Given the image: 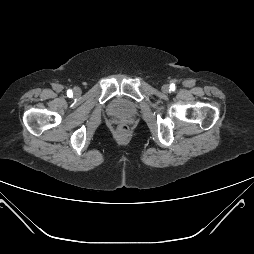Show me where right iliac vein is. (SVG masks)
<instances>
[{
    "label": "right iliac vein",
    "instance_id": "right-iliac-vein-1",
    "mask_svg": "<svg viewBox=\"0 0 254 254\" xmlns=\"http://www.w3.org/2000/svg\"><path fill=\"white\" fill-rule=\"evenodd\" d=\"M80 94V89L79 88H75L74 89V95H79Z\"/></svg>",
    "mask_w": 254,
    "mask_h": 254
}]
</instances>
